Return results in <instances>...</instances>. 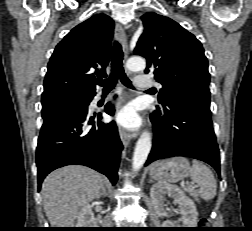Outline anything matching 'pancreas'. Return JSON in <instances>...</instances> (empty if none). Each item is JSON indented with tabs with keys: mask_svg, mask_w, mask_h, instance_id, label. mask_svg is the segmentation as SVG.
<instances>
[{
	"mask_svg": "<svg viewBox=\"0 0 252 231\" xmlns=\"http://www.w3.org/2000/svg\"><path fill=\"white\" fill-rule=\"evenodd\" d=\"M192 195L196 196V194L194 192H191Z\"/></svg>",
	"mask_w": 252,
	"mask_h": 231,
	"instance_id": "cf45deb5",
	"label": "pancreas"
}]
</instances>
